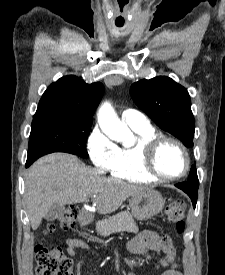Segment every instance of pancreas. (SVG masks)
Returning <instances> with one entry per match:
<instances>
[{"mask_svg": "<svg viewBox=\"0 0 225 275\" xmlns=\"http://www.w3.org/2000/svg\"><path fill=\"white\" fill-rule=\"evenodd\" d=\"M98 234L108 236L112 233L130 232L137 233L138 227L133 219L132 214L129 212H120L108 219L99 221L96 224Z\"/></svg>", "mask_w": 225, "mask_h": 275, "instance_id": "obj_1", "label": "pancreas"}]
</instances>
